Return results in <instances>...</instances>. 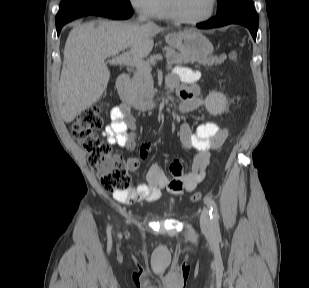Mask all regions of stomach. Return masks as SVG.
I'll use <instances>...</instances> for the list:
<instances>
[{
	"label": "stomach",
	"instance_id": "0dacf381",
	"mask_svg": "<svg viewBox=\"0 0 309 288\" xmlns=\"http://www.w3.org/2000/svg\"><path fill=\"white\" fill-rule=\"evenodd\" d=\"M166 42L190 57H207L213 52L211 42L199 31L184 30L166 35Z\"/></svg>",
	"mask_w": 309,
	"mask_h": 288
}]
</instances>
